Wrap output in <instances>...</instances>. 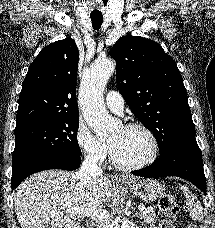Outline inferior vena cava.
<instances>
[{
    "label": "inferior vena cava",
    "instance_id": "obj_1",
    "mask_svg": "<svg viewBox=\"0 0 215 228\" xmlns=\"http://www.w3.org/2000/svg\"><path fill=\"white\" fill-rule=\"evenodd\" d=\"M76 176L83 186H88V184H92L95 178L103 176V170L98 166L97 156L89 152V154L85 156L79 172H76ZM94 226L95 228H106L104 220L95 222Z\"/></svg>",
    "mask_w": 215,
    "mask_h": 228
}]
</instances>
